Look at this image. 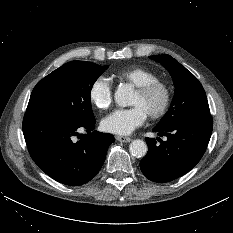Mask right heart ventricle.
Listing matches in <instances>:
<instances>
[{"label": "right heart ventricle", "mask_w": 233, "mask_h": 233, "mask_svg": "<svg viewBox=\"0 0 233 233\" xmlns=\"http://www.w3.org/2000/svg\"><path fill=\"white\" fill-rule=\"evenodd\" d=\"M115 77L118 80L130 83L134 87L159 79L155 72L142 66H131L122 69L115 74Z\"/></svg>", "instance_id": "right-heart-ventricle-1"}]
</instances>
